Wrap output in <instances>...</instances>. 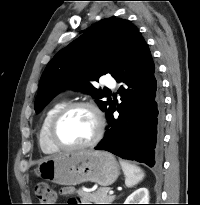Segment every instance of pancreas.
I'll return each instance as SVG.
<instances>
[{
  "mask_svg": "<svg viewBox=\"0 0 200 205\" xmlns=\"http://www.w3.org/2000/svg\"><path fill=\"white\" fill-rule=\"evenodd\" d=\"M108 187H100L94 192H84L79 190L78 194L82 197L84 201L94 202L95 204H110L114 201L115 196L108 194Z\"/></svg>",
  "mask_w": 200,
  "mask_h": 205,
  "instance_id": "1",
  "label": "pancreas"
}]
</instances>
